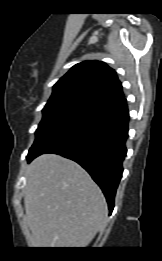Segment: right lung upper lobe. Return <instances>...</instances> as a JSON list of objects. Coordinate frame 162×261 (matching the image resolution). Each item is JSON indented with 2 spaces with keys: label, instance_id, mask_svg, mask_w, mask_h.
Here are the masks:
<instances>
[{
  "label": "right lung upper lobe",
  "instance_id": "obj_1",
  "mask_svg": "<svg viewBox=\"0 0 162 261\" xmlns=\"http://www.w3.org/2000/svg\"><path fill=\"white\" fill-rule=\"evenodd\" d=\"M79 92L102 103L124 97L115 71L101 61H84L73 66L53 87V94Z\"/></svg>",
  "mask_w": 162,
  "mask_h": 261
}]
</instances>
